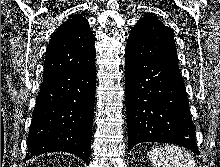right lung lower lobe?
Listing matches in <instances>:
<instances>
[{
    "instance_id": "obj_1",
    "label": "right lung lower lobe",
    "mask_w": 220,
    "mask_h": 167,
    "mask_svg": "<svg viewBox=\"0 0 220 167\" xmlns=\"http://www.w3.org/2000/svg\"><path fill=\"white\" fill-rule=\"evenodd\" d=\"M95 88V63L43 80L25 160L48 152H69L89 165Z\"/></svg>"
}]
</instances>
